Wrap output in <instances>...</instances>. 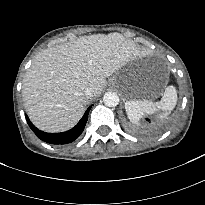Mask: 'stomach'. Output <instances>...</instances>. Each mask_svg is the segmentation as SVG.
Instances as JSON below:
<instances>
[{
  "label": "stomach",
  "instance_id": "stomach-1",
  "mask_svg": "<svg viewBox=\"0 0 205 205\" xmlns=\"http://www.w3.org/2000/svg\"><path fill=\"white\" fill-rule=\"evenodd\" d=\"M163 81L148 80L143 76L140 64L131 63L119 71L110 81L121 94L130 100L156 99L162 94L167 84Z\"/></svg>",
  "mask_w": 205,
  "mask_h": 205
}]
</instances>
